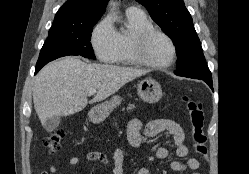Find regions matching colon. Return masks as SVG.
I'll return each instance as SVG.
<instances>
[{
	"label": "colon",
	"mask_w": 249,
	"mask_h": 174,
	"mask_svg": "<svg viewBox=\"0 0 249 174\" xmlns=\"http://www.w3.org/2000/svg\"><path fill=\"white\" fill-rule=\"evenodd\" d=\"M182 101L186 104L190 120V137L195 152L203 159L208 158V149L206 147V135L204 133V116L201 109V104L190 98L183 96ZM64 130L52 131L44 140V146L51 154H56L60 148L63 139L65 138Z\"/></svg>",
	"instance_id": "5ec220e1"
}]
</instances>
